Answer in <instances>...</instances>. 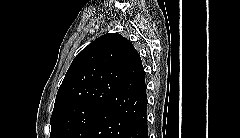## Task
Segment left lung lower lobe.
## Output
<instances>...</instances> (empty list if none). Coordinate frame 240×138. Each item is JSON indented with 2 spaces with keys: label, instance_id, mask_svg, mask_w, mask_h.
I'll return each instance as SVG.
<instances>
[{
  "label": "left lung lower lobe",
  "instance_id": "obj_1",
  "mask_svg": "<svg viewBox=\"0 0 240 138\" xmlns=\"http://www.w3.org/2000/svg\"><path fill=\"white\" fill-rule=\"evenodd\" d=\"M146 85L138 56L87 138H148Z\"/></svg>",
  "mask_w": 240,
  "mask_h": 138
}]
</instances>
